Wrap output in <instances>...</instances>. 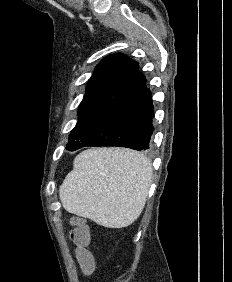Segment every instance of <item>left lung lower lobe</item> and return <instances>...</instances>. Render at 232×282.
<instances>
[{"label":"left lung lower lobe","instance_id":"left-lung-lower-lobe-1","mask_svg":"<svg viewBox=\"0 0 232 282\" xmlns=\"http://www.w3.org/2000/svg\"><path fill=\"white\" fill-rule=\"evenodd\" d=\"M145 82V76L137 66L100 113L90 138L79 145L68 146L67 149L75 151L85 146L149 149L154 130V107Z\"/></svg>","mask_w":232,"mask_h":282}]
</instances>
